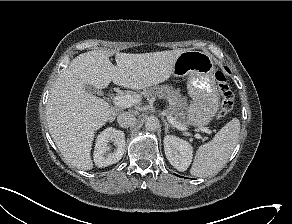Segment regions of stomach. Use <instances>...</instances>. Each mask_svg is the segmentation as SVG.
I'll return each mask as SVG.
<instances>
[{"label": "stomach", "mask_w": 292, "mask_h": 224, "mask_svg": "<svg viewBox=\"0 0 292 224\" xmlns=\"http://www.w3.org/2000/svg\"><path fill=\"white\" fill-rule=\"evenodd\" d=\"M172 75L187 76L188 94L192 98L186 112L189 125L204 126L211 122L220 100L212 56L201 51H183L174 63Z\"/></svg>", "instance_id": "1"}]
</instances>
